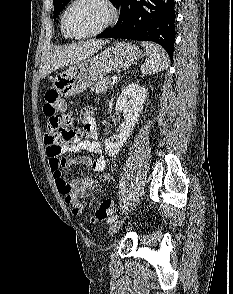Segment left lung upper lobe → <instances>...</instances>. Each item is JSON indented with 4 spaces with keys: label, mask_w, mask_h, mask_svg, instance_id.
<instances>
[{
    "label": "left lung upper lobe",
    "mask_w": 233,
    "mask_h": 294,
    "mask_svg": "<svg viewBox=\"0 0 233 294\" xmlns=\"http://www.w3.org/2000/svg\"><path fill=\"white\" fill-rule=\"evenodd\" d=\"M71 0H53L54 4V19L58 16V14L63 10V8L70 2ZM114 4H118L121 0H110Z\"/></svg>",
    "instance_id": "1"
}]
</instances>
